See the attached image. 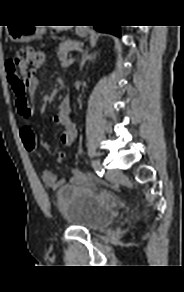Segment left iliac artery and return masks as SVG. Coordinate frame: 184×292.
<instances>
[{
  "label": "left iliac artery",
  "mask_w": 184,
  "mask_h": 292,
  "mask_svg": "<svg viewBox=\"0 0 184 292\" xmlns=\"http://www.w3.org/2000/svg\"><path fill=\"white\" fill-rule=\"evenodd\" d=\"M91 165L94 171L97 173V175L102 177L104 174V169L102 168L101 164L96 160H92Z\"/></svg>",
  "instance_id": "obj_1"
}]
</instances>
